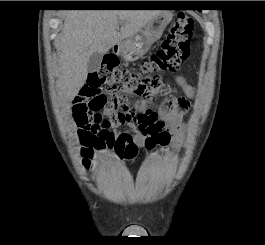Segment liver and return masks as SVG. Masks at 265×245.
<instances>
[{
    "label": "liver",
    "instance_id": "obj_1",
    "mask_svg": "<svg viewBox=\"0 0 265 245\" xmlns=\"http://www.w3.org/2000/svg\"><path fill=\"white\" fill-rule=\"evenodd\" d=\"M159 10H70L58 40L61 89L73 100L87 79L91 54L107 53L139 32ZM121 24L120 31L117 28Z\"/></svg>",
    "mask_w": 265,
    "mask_h": 245
}]
</instances>
